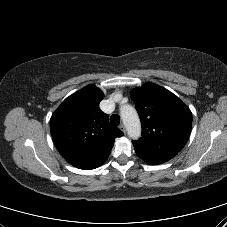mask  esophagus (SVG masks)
<instances>
[{
	"instance_id": "34e87169",
	"label": "esophagus",
	"mask_w": 227,
	"mask_h": 227,
	"mask_svg": "<svg viewBox=\"0 0 227 227\" xmlns=\"http://www.w3.org/2000/svg\"><path fill=\"white\" fill-rule=\"evenodd\" d=\"M119 129H120L123 133L126 132V128H125V125H124V124H120Z\"/></svg>"
}]
</instances>
